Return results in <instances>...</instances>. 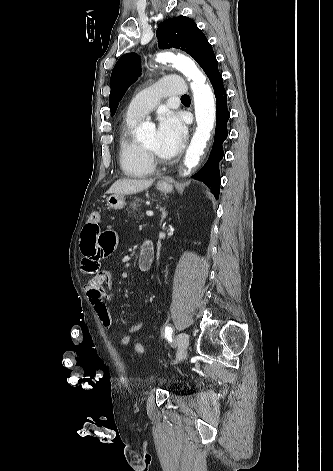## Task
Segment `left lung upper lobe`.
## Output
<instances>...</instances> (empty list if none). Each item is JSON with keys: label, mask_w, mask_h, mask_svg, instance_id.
<instances>
[{"label": "left lung upper lobe", "mask_w": 333, "mask_h": 471, "mask_svg": "<svg viewBox=\"0 0 333 471\" xmlns=\"http://www.w3.org/2000/svg\"><path fill=\"white\" fill-rule=\"evenodd\" d=\"M158 46L161 49L180 48L190 54L202 67L206 59L213 54L212 46L196 23L185 16H178L163 21L157 31ZM140 58L135 53H128L119 58L111 74V92L109 107L113 116L127 88L140 76Z\"/></svg>", "instance_id": "obj_1"}]
</instances>
